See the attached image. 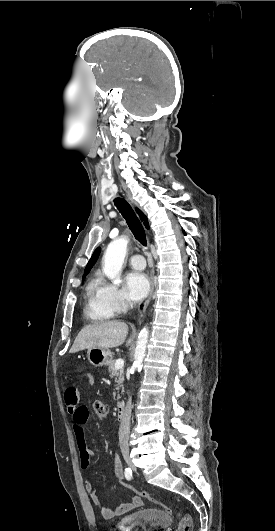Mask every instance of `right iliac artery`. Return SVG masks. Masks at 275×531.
<instances>
[{"mask_svg":"<svg viewBox=\"0 0 275 531\" xmlns=\"http://www.w3.org/2000/svg\"><path fill=\"white\" fill-rule=\"evenodd\" d=\"M125 477L127 480H131L132 479V470L130 468H126L125 469Z\"/></svg>","mask_w":275,"mask_h":531,"instance_id":"1","label":"right iliac artery"}]
</instances>
